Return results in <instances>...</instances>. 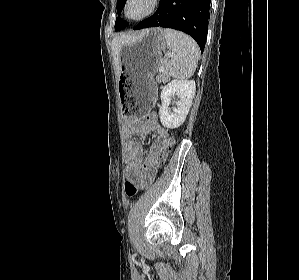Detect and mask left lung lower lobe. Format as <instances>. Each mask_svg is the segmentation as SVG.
Returning <instances> with one entry per match:
<instances>
[{
	"label": "left lung lower lobe",
	"mask_w": 299,
	"mask_h": 280,
	"mask_svg": "<svg viewBox=\"0 0 299 280\" xmlns=\"http://www.w3.org/2000/svg\"><path fill=\"white\" fill-rule=\"evenodd\" d=\"M211 0H160L158 10L133 29L166 27L191 35L204 51Z\"/></svg>",
	"instance_id": "obj_1"
}]
</instances>
